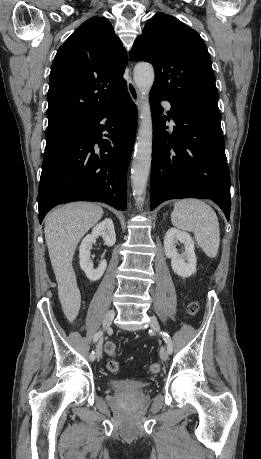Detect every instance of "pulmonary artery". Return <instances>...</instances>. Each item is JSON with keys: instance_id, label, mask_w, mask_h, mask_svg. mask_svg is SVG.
Instances as JSON below:
<instances>
[{"instance_id": "e3ab8cb5", "label": "pulmonary artery", "mask_w": 261, "mask_h": 459, "mask_svg": "<svg viewBox=\"0 0 261 459\" xmlns=\"http://www.w3.org/2000/svg\"><path fill=\"white\" fill-rule=\"evenodd\" d=\"M163 105L166 108V110L170 111V104L168 102H164Z\"/></svg>"}]
</instances>
